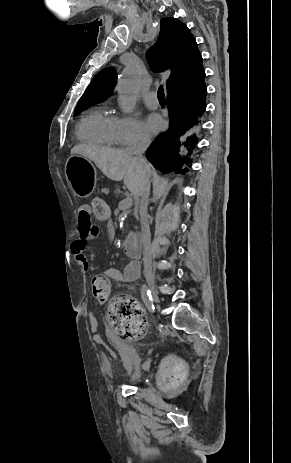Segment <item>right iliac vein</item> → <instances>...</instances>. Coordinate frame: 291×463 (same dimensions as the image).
Here are the masks:
<instances>
[{"instance_id":"63e3f726","label":"right iliac vein","mask_w":291,"mask_h":463,"mask_svg":"<svg viewBox=\"0 0 291 463\" xmlns=\"http://www.w3.org/2000/svg\"><path fill=\"white\" fill-rule=\"evenodd\" d=\"M147 281H148V285H149V288H150L151 293H152L153 301H154L155 303H159L160 300H159V297H158V295H157V291H156V286H155V281H154V279L148 278Z\"/></svg>"}]
</instances>
